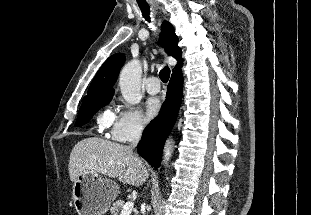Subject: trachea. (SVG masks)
Returning a JSON list of instances; mask_svg holds the SVG:
<instances>
[{
	"mask_svg": "<svg viewBox=\"0 0 311 215\" xmlns=\"http://www.w3.org/2000/svg\"><path fill=\"white\" fill-rule=\"evenodd\" d=\"M140 9L142 12L143 17L150 22V9L149 6H141L140 5ZM159 77L162 80V82L167 83L170 77V69L168 66H165L159 73Z\"/></svg>",
	"mask_w": 311,
	"mask_h": 215,
	"instance_id": "1",
	"label": "trachea"
}]
</instances>
